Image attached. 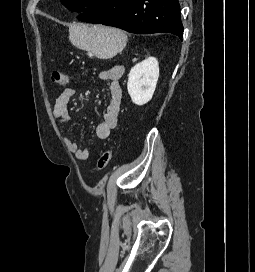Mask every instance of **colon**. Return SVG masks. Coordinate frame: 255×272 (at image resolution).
<instances>
[{
  "instance_id": "1",
  "label": "colon",
  "mask_w": 255,
  "mask_h": 272,
  "mask_svg": "<svg viewBox=\"0 0 255 272\" xmlns=\"http://www.w3.org/2000/svg\"><path fill=\"white\" fill-rule=\"evenodd\" d=\"M51 80L54 84L64 86L68 83L69 79L64 72L55 69L51 72ZM112 158V151L110 149L105 150L97 160V169L103 171L109 165Z\"/></svg>"
}]
</instances>
